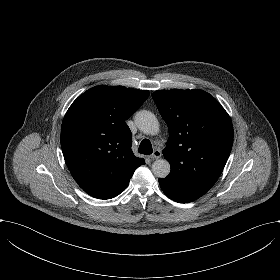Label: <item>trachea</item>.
Masks as SVG:
<instances>
[{
	"instance_id": "obj_1",
	"label": "trachea",
	"mask_w": 280,
	"mask_h": 280,
	"mask_svg": "<svg viewBox=\"0 0 280 280\" xmlns=\"http://www.w3.org/2000/svg\"><path fill=\"white\" fill-rule=\"evenodd\" d=\"M139 153L141 154H152V144L148 139H143L139 145Z\"/></svg>"
}]
</instances>
